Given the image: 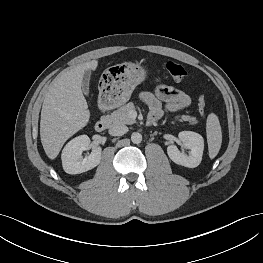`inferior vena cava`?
Instances as JSON below:
<instances>
[{
    "label": "inferior vena cava",
    "mask_w": 263,
    "mask_h": 263,
    "mask_svg": "<svg viewBox=\"0 0 263 263\" xmlns=\"http://www.w3.org/2000/svg\"><path fill=\"white\" fill-rule=\"evenodd\" d=\"M128 132V127L125 125H113L109 129V134L112 136H122Z\"/></svg>",
    "instance_id": "inferior-vena-cava-1"
}]
</instances>
